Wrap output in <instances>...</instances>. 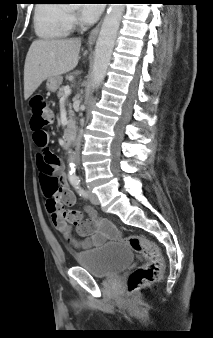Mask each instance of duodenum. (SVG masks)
<instances>
[{
	"label": "duodenum",
	"mask_w": 213,
	"mask_h": 338,
	"mask_svg": "<svg viewBox=\"0 0 213 338\" xmlns=\"http://www.w3.org/2000/svg\"><path fill=\"white\" fill-rule=\"evenodd\" d=\"M74 130H75L74 125L72 123H69L66 128V132L64 136V143L68 148H70L72 145Z\"/></svg>",
	"instance_id": "410a0bca"
}]
</instances>
